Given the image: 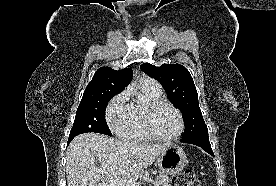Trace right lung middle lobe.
Wrapping results in <instances>:
<instances>
[{"label": "right lung middle lobe", "mask_w": 276, "mask_h": 186, "mask_svg": "<svg viewBox=\"0 0 276 186\" xmlns=\"http://www.w3.org/2000/svg\"><path fill=\"white\" fill-rule=\"evenodd\" d=\"M116 94L118 92H84L69 137H75L86 132L112 135L105 120V109L109 100Z\"/></svg>", "instance_id": "obj_1"}]
</instances>
